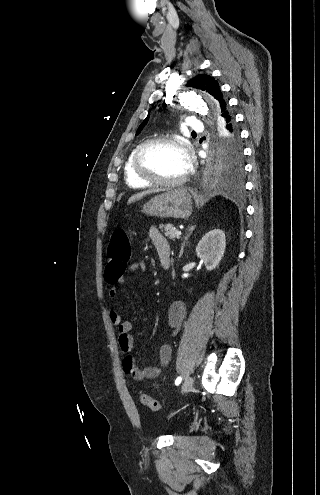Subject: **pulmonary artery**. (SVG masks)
<instances>
[{
  "instance_id": "obj_1",
  "label": "pulmonary artery",
  "mask_w": 320,
  "mask_h": 495,
  "mask_svg": "<svg viewBox=\"0 0 320 495\" xmlns=\"http://www.w3.org/2000/svg\"><path fill=\"white\" fill-rule=\"evenodd\" d=\"M188 125L193 131H201L203 128L202 122L195 117L188 118Z\"/></svg>"
}]
</instances>
